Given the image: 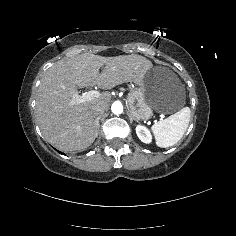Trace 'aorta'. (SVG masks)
I'll return each instance as SVG.
<instances>
[{"label": "aorta", "instance_id": "aorta-1", "mask_svg": "<svg viewBox=\"0 0 236 236\" xmlns=\"http://www.w3.org/2000/svg\"><path fill=\"white\" fill-rule=\"evenodd\" d=\"M111 110L114 114H120L123 111V105L120 101H115L112 106Z\"/></svg>", "mask_w": 236, "mask_h": 236}]
</instances>
